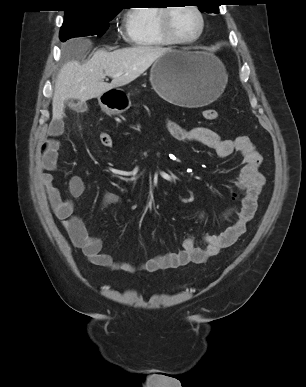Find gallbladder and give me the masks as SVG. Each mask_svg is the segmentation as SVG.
Returning a JSON list of instances; mask_svg holds the SVG:
<instances>
[{
	"label": "gallbladder",
	"mask_w": 306,
	"mask_h": 387,
	"mask_svg": "<svg viewBox=\"0 0 306 387\" xmlns=\"http://www.w3.org/2000/svg\"><path fill=\"white\" fill-rule=\"evenodd\" d=\"M66 104H67L69 107H71V108H73V109H76V105H75L72 101L68 100V101H66Z\"/></svg>",
	"instance_id": "bac80fb5"
}]
</instances>
